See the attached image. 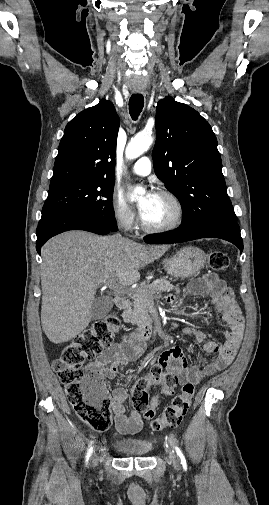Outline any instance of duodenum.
<instances>
[{"mask_svg": "<svg viewBox=\"0 0 269 505\" xmlns=\"http://www.w3.org/2000/svg\"><path fill=\"white\" fill-rule=\"evenodd\" d=\"M115 306L118 309H125L129 306V299L125 296H117L115 298ZM153 327L151 323H146L128 334V338L135 343H142L149 339L152 335Z\"/></svg>", "mask_w": 269, "mask_h": 505, "instance_id": "410a0bca", "label": "duodenum"}]
</instances>
